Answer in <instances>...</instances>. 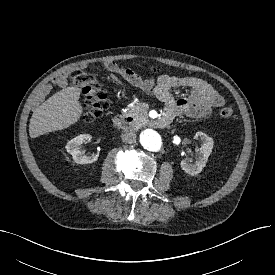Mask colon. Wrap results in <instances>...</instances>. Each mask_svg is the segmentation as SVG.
<instances>
[{
	"label": "colon",
	"instance_id": "5ec220e1",
	"mask_svg": "<svg viewBox=\"0 0 275 275\" xmlns=\"http://www.w3.org/2000/svg\"><path fill=\"white\" fill-rule=\"evenodd\" d=\"M105 67L116 69L113 62H106ZM153 72H157L158 68L153 67ZM71 80L73 84L80 87L85 96L83 120L87 123H92L108 109L109 102L106 94L95 84L94 77L86 74L80 69L71 72ZM219 115L223 119H231L234 115V110L231 105H225L219 110Z\"/></svg>",
	"mask_w": 275,
	"mask_h": 275
}]
</instances>
